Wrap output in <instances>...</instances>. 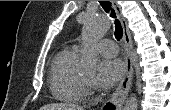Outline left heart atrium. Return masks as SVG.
<instances>
[{"label": "left heart atrium", "mask_w": 171, "mask_h": 110, "mask_svg": "<svg viewBox=\"0 0 171 110\" xmlns=\"http://www.w3.org/2000/svg\"><path fill=\"white\" fill-rule=\"evenodd\" d=\"M125 66L120 59L103 60L98 67L94 84L103 89L113 87L124 75Z\"/></svg>", "instance_id": "obj_1"}]
</instances>
